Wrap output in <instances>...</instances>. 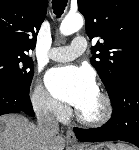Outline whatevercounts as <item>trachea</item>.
<instances>
[{"label": "trachea", "instance_id": "3493384b", "mask_svg": "<svg viewBox=\"0 0 139 150\" xmlns=\"http://www.w3.org/2000/svg\"><path fill=\"white\" fill-rule=\"evenodd\" d=\"M68 0H52L54 13L60 17L67 6Z\"/></svg>", "mask_w": 139, "mask_h": 150}]
</instances>
